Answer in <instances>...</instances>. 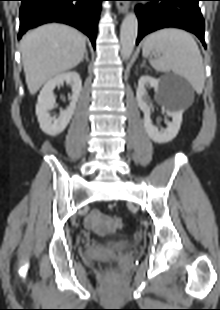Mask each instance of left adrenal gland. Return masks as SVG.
Segmentation results:
<instances>
[{
	"mask_svg": "<svg viewBox=\"0 0 220 310\" xmlns=\"http://www.w3.org/2000/svg\"><path fill=\"white\" fill-rule=\"evenodd\" d=\"M146 66V62L143 61V64L141 65V67H145Z\"/></svg>",
	"mask_w": 220,
	"mask_h": 310,
	"instance_id": "a2214340",
	"label": "left adrenal gland"
}]
</instances>
